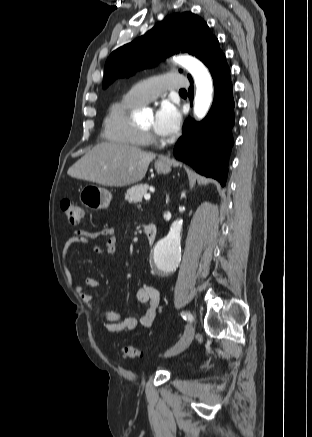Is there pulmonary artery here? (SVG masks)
<instances>
[{"label": "pulmonary artery", "instance_id": "pulmonary-artery-1", "mask_svg": "<svg viewBox=\"0 0 312 437\" xmlns=\"http://www.w3.org/2000/svg\"><path fill=\"white\" fill-rule=\"evenodd\" d=\"M187 86L188 80L183 74L167 73L137 83L128 91L126 97L145 105L164 90L184 89Z\"/></svg>", "mask_w": 312, "mask_h": 437}]
</instances>
